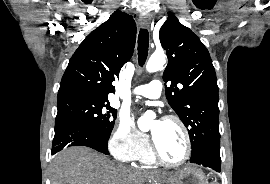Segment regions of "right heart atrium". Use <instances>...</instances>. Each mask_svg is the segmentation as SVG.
<instances>
[{"mask_svg": "<svg viewBox=\"0 0 270 184\" xmlns=\"http://www.w3.org/2000/svg\"><path fill=\"white\" fill-rule=\"evenodd\" d=\"M148 144L147 136L135 128L131 119L121 116L112 131L108 147L118 160L132 162L148 148Z\"/></svg>", "mask_w": 270, "mask_h": 184, "instance_id": "obj_1", "label": "right heart atrium"}]
</instances>
